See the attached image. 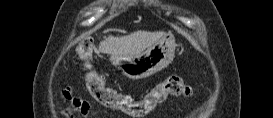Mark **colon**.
<instances>
[{
  "label": "colon",
  "instance_id": "obj_1",
  "mask_svg": "<svg viewBox=\"0 0 273 118\" xmlns=\"http://www.w3.org/2000/svg\"><path fill=\"white\" fill-rule=\"evenodd\" d=\"M76 54L80 59L88 61L93 54V44L89 41L79 43L76 47ZM86 84L96 101L131 117L145 116L169 95L187 97L192 95L191 88L178 76H171L159 82L139 100L106 87L102 75L91 67L87 69Z\"/></svg>",
  "mask_w": 273,
  "mask_h": 118
}]
</instances>
